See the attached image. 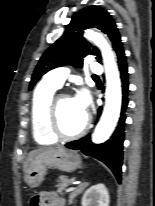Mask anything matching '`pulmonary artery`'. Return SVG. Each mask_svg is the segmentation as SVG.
<instances>
[{"mask_svg":"<svg viewBox=\"0 0 155 206\" xmlns=\"http://www.w3.org/2000/svg\"><path fill=\"white\" fill-rule=\"evenodd\" d=\"M90 68L94 72H100L101 71L100 64L96 61L91 63ZM68 74H69V70L66 67H59V68H56V69L48 72L45 75L44 80L48 84H51V85L55 86L56 88H59L63 85L64 81L66 80V78L68 76Z\"/></svg>","mask_w":155,"mask_h":206,"instance_id":"pulmonary-artery-1","label":"pulmonary artery"}]
</instances>
